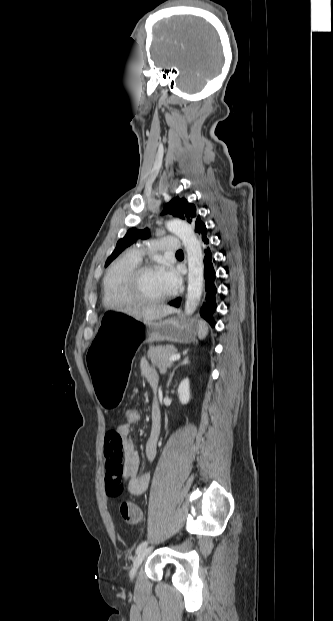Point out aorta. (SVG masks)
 <instances>
[{"label":"aorta","instance_id":"aorta-1","mask_svg":"<svg viewBox=\"0 0 333 621\" xmlns=\"http://www.w3.org/2000/svg\"><path fill=\"white\" fill-rule=\"evenodd\" d=\"M167 228L181 239L187 252L188 290L185 313L192 315L200 303L203 291L204 266L202 247L188 223L181 220H173L167 224Z\"/></svg>","mask_w":333,"mask_h":621}]
</instances>
